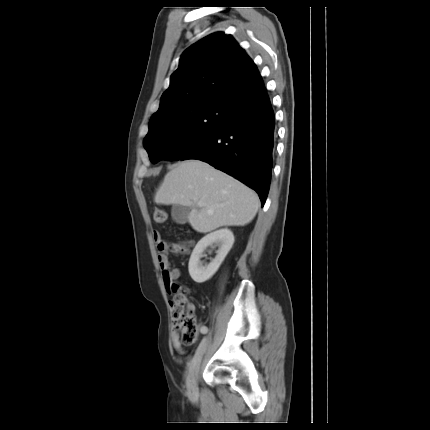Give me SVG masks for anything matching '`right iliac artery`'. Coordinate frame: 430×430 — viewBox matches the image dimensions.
<instances>
[{
  "mask_svg": "<svg viewBox=\"0 0 430 430\" xmlns=\"http://www.w3.org/2000/svg\"><path fill=\"white\" fill-rule=\"evenodd\" d=\"M201 335H206V330H201Z\"/></svg>",
  "mask_w": 430,
  "mask_h": 430,
  "instance_id": "right-iliac-artery-1",
  "label": "right iliac artery"
}]
</instances>
